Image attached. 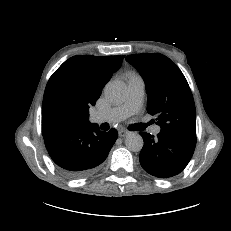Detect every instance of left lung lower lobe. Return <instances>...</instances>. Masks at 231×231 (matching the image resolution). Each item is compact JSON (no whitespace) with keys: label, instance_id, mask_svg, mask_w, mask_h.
<instances>
[{"label":"left lung lower lobe","instance_id":"1","mask_svg":"<svg viewBox=\"0 0 231 231\" xmlns=\"http://www.w3.org/2000/svg\"><path fill=\"white\" fill-rule=\"evenodd\" d=\"M144 146L139 160L142 168L149 174L168 178L182 172L189 163L195 146L196 136L161 131L157 138L140 132Z\"/></svg>","mask_w":231,"mask_h":231}]
</instances>
